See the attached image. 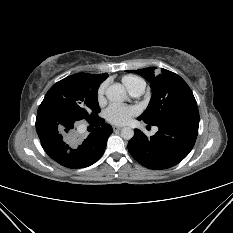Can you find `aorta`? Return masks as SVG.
I'll return each instance as SVG.
<instances>
[{"label": "aorta", "mask_w": 233, "mask_h": 233, "mask_svg": "<svg viewBox=\"0 0 233 233\" xmlns=\"http://www.w3.org/2000/svg\"><path fill=\"white\" fill-rule=\"evenodd\" d=\"M105 95L111 102H123L128 97L125 88L121 84H113L106 89ZM134 136V131L130 127H124L121 130V137L130 140Z\"/></svg>", "instance_id": "aorta-1"}]
</instances>
